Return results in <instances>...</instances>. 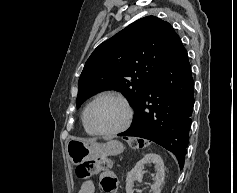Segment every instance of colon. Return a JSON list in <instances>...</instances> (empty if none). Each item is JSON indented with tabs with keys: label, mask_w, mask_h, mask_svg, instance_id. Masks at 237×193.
<instances>
[{
	"label": "colon",
	"mask_w": 237,
	"mask_h": 193,
	"mask_svg": "<svg viewBox=\"0 0 237 193\" xmlns=\"http://www.w3.org/2000/svg\"><path fill=\"white\" fill-rule=\"evenodd\" d=\"M136 147H141V140H131ZM112 167V161L109 158H100L86 162L76 169L77 176L82 180L89 179L92 175L100 171H108Z\"/></svg>",
	"instance_id": "5ec220e1"
}]
</instances>
